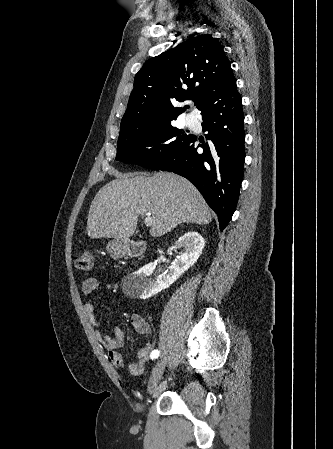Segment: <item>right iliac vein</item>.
Here are the masks:
<instances>
[{
    "label": "right iliac vein",
    "mask_w": 333,
    "mask_h": 449,
    "mask_svg": "<svg viewBox=\"0 0 333 449\" xmlns=\"http://www.w3.org/2000/svg\"><path fill=\"white\" fill-rule=\"evenodd\" d=\"M164 368H165L164 360L162 359L158 360L155 367L152 370V374L148 383L147 392L149 394H152L155 391L157 384L163 375Z\"/></svg>",
    "instance_id": "1"
}]
</instances>
